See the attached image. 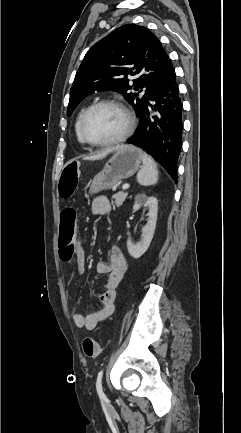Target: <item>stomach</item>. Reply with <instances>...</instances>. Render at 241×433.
Here are the masks:
<instances>
[{"label":"stomach","instance_id":"stomach-1","mask_svg":"<svg viewBox=\"0 0 241 433\" xmlns=\"http://www.w3.org/2000/svg\"><path fill=\"white\" fill-rule=\"evenodd\" d=\"M142 152L139 148L128 145L115 151L103 170L92 180L90 194L113 188L119 181L129 178L140 168Z\"/></svg>","mask_w":241,"mask_h":433}]
</instances>
